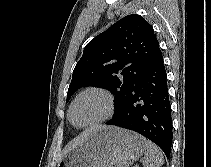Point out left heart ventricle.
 I'll return each mask as SVG.
<instances>
[{
  "label": "left heart ventricle",
  "instance_id": "obj_1",
  "mask_svg": "<svg viewBox=\"0 0 211 167\" xmlns=\"http://www.w3.org/2000/svg\"><path fill=\"white\" fill-rule=\"evenodd\" d=\"M106 112L105 99L96 93H89L81 97L72 110V120L77 125L88 124Z\"/></svg>",
  "mask_w": 211,
  "mask_h": 167
}]
</instances>
